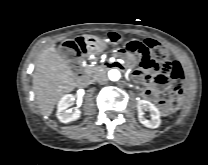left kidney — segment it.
<instances>
[{
    "instance_id": "left-kidney-1",
    "label": "left kidney",
    "mask_w": 208,
    "mask_h": 165,
    "mask_svg": "<svg viewBox=\"0 0 208 165\" xmlns=\"http://www.w3.org/2000/svg\"><path fill=\"white\" fill-rule=\"evenodd\" d=\"M137 110H138V119L141 124L148 128H157L159 127L161 120H160V112L156 108V106L146 100H139L137 103ZM144 110H148L150 112L151 119L148 120L144 117Z\"/></svg>"
}]
</instances>
